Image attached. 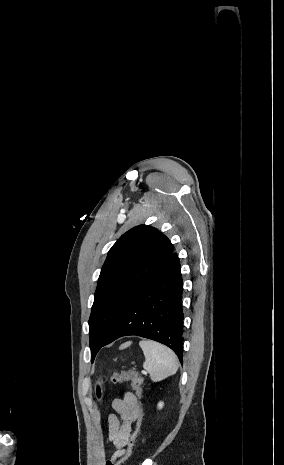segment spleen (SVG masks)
I'll use <instances>...</instances> for the list:
<instances>
[{
	"mask_svg": "<svg viewBox=\"0 0 284 465\" xmlns=\"http://www.w3.org/2000/svg\"><path fill=\"white\" fill-rule=\"evenodd\" d=\"M139 345L145 357L143 367L149 373L151 381L157 383V381H163V379L177 373L179 365L177 357L171 349L160 345V343H155V341H149V339L140 341Z\"/></svg>",
	"mask_w": 284,
	"mask_h": 465,
	"instance_id": "1",
	"label": "spleen"
}]
</instances>
